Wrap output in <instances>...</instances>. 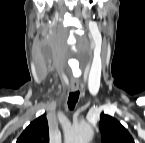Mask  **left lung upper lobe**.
I'll list each match as a JSON object with an SVG mask.
<instances>
[{
	"label": "left lung upper lobe",
	"mask_w": 145,
	"mask_h": 143,
	"mask_svg": "<svg viewBox=\"0 0 145 143\" xmlns=\"http://www.w3.org/2000/svg\"><path fill=\"white\" fill-rule=\"evenodd\" d=\"M102 143H134L129 132L115 118L102 114L99 124Z\"/></svg>",
	"instance_id": "obj_1"
}]
</instances>
